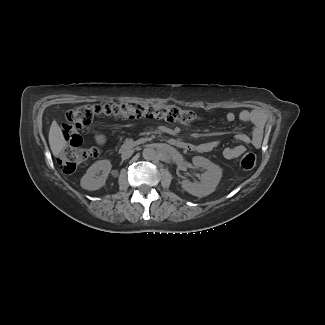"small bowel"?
<instances>
[{
    "instance_id": "c3829d8e",
    "label": "small bowel",
    "mask_w": 325,
    "mask_h": 325,
    "mask_svg": "<svg viewBox=\"0 0 325 325\" xmlns=\"http://www.w3.org/2000/svg\"><path fill=\"white\" fill-rule=\"evenodd\" d=\"M265 114L262 111H250V110H242L238 114L233 112L224 113L219 121L225 124H231L235 121L239 120L241 122H253L256 130L261 129L264 121ZM58 131L60 133V137L67 142L68 148H76L81 147L83 145V137L81 134L76 133L73 130L72 126H67L65 122H60L58 124ZM238 139L241 142H248L250 140L249 136L245 133H240L238 135ZM95 141L97 145L103 146L106 143V137L102 133L95 134ZM218 145L217 141H208L205 143L198 144L195 146V149L200 152H207L214 150ZM245 151V146L243 144H238L232 147L225 148L223 150V156L226 159H235L238 158Z\"/></svg>"
}]
</instances>
